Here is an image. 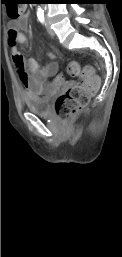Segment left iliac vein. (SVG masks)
<instances>
[{
    "mask_svg": "<svg viewBox=\"0 0 122 257\" xmlns=\"http://www.w3.org/2000/svg\"><path fill=\"white\" fill-rule=\"evenodd\" d=\"M46 24H47V32L48 34L53 37L54 36V31L52 30V28L50 27V22H49V19L47 18L46 19Z\"/></svg>",
    "mask_w": 122,
    "mask_h": 257,
    "instance_id": "4c4485c4",
    "label": "left iliac vein"
}]
</instances>
